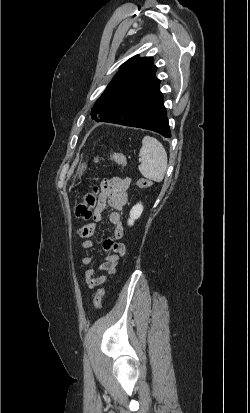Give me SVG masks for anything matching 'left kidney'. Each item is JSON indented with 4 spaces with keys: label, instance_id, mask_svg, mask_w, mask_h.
I'll return each mask as SVG.
<instances>
[{
    "label": "left kidney",
    "instance_id": "5707ae66",
    "mask_svg": "<svg viewBox=\"0 0 250 413\" xmlns=\"http://www.w3.org/2000/svg\"><path fill=\"white\" fill-rule=\"evenodd\" d=\"M143 212V206L141 203L136 204L130 210V218L128 219V225L132 226L134 221L138 219Z\"/></svg>",
    "mask_w": 250,
    "mask_h": 413
}]
</instances>
